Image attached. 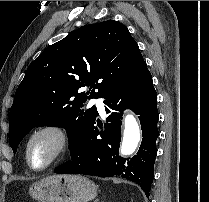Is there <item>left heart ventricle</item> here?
<instances>
[{"label": "left heart ventricle", "mask_w": 209, "mask_h": 202, "mask_svg": "<svg viewBox=\"0 0 209 202\" xmlns=\"http://www.w3.org/2000/svg\"><path fill=\"white\" fill-rule=\"evenodd\" d=\"M54 141L49 135H41L36 138L30 147L31 159L35 166H41L49 159Z\"/></svg>", "instance_id": "obj_1"}]
</instances>
